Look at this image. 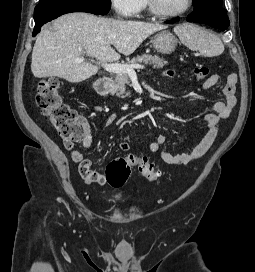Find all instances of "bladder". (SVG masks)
Segmentation results:
<instances>
[{"label":"bladder","mask_w":255,"mask_h":272,"mask_svg":"<svg viewBox=\"0 0 255 272\" xmlns=\"http://www.w3.org/2000/svg\"><path fill=\"white\" fill-rule=\"evenodd\" d=\"M117 197H118V194H117V193H111V194H109V196H108L109 199H115V198H117Z\"/></svg>","instance_id":"obj_1"}]
</instances>
